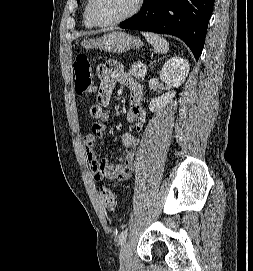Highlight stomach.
<instances>
[{
    "mask_svg": "<svg viewBox=\"0 0 253 271\" xmlns=\"http://www.w3.org/2000/svg\"><path fill=\"white\" fill-rule=\"evenodd\" d=\"M142 45L140 39L121 31L107 33L96 40L83 41L86 49L95 48L111 53H124L130 49H139Z\"/></svg>",
    "mask_w": 253,
    "mask_h": 271,
    "instance_id": "stomach-1",
    "label": "stomach"
}]
</instances>
